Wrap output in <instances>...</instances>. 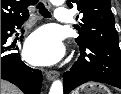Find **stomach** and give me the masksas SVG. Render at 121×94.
I'll return each instance as SVG.
<instances>
[{
  "instance_id": "1",
  "label": "stomach",
  "mask_w": 121,
  "mask_h": 94,
  "mask_svg": "<svg viewBox=\"0 0 121 94\" xmlns=\"http://www.w3.org/2000/svg\"><path fill=\"white\" fill-rule=\"evenodd\" d=\"M73 94H111V91L102 84L87 83L75 90Z\"/></svg>"
}]
</instances>
